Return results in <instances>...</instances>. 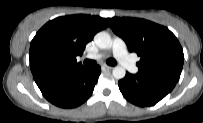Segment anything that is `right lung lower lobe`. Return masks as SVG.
Returning a JSON list of instances; mask_svg holds the SVG:
<instances>
[{
  "mask_svg": "<svg viewBox=\"0 0 203 123\" xmlns=\"http://www.w3.org/2000/svg\"><path fill=\"white\" fill-rule=\"evenodd\" d=\"M32 73L37 86L49 102L62 108H74L90 97L101 68L99 65L92 68L56 67Z\"/></svg>",
  "mask_w": 203,
  "mask_h": 123,
  "instance_id": "1",
  "label": "right lung lower lobe"
}]
</instances>
